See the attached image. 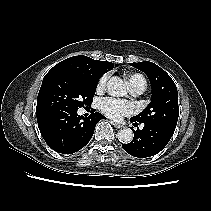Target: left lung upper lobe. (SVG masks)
<instances>
[{
    "label": "left lung upper lobe",
    "mask_w": 211,
    "mask_h": 211,
    "mask_svg": "<svg viewBox=\"0 0 211 211\" xmlns=\"http://www.w3.org/2000/svg\"><path fill=\"white\" fill-rule=\"evenodd\" d=\"M129 64L143 71L152 87L151 102L140 114L130 120L154 125L173 134L179 116L178 93L174 81L163 69L152 62Z\"/></svg>",
    "instance_id": "1"
}]
</instances>
